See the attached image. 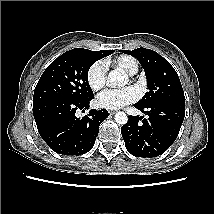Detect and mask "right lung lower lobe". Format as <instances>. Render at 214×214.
<instances>
[{
    "instance_id": "98d812e1",
    "label": "right lung lower lobe",
    "mask_w": 214,
    "mask_h": 214,
    "mask_svg": "<svg viewBox=\"0 0 214 214\" xmlns=\"http://www.w3.org/2000/svg\"><path fill=\"white\" fill-rule=\"evenodd\" d=\"M49 99L33 104V114L42 139L58 154L81 155L94 146L99 125L108 117L107 110L92 109L78 118V110L85 112L93 99Z\"/></svg>"
}]
</instances>
